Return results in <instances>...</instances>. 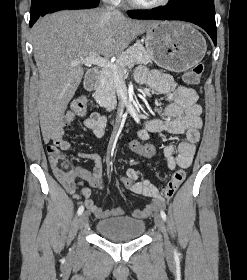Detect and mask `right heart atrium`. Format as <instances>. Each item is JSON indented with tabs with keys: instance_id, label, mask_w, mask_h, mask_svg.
Listing matches in <instances>:
<instances>
[{
	"instance_id": "obj_1",
	"label": "right heart atrium",
	"mask_w": 247,
	"mask_h": 280,
	"mask_svg": "<svg viewBox=\"0 0 247 280\" xmlns=\"http://www.w3.org/2000/svg\"><path fill=\"white\" fill-rule=\"evenodd\" d=\"M105 1H108V2H111V3H118L120 0H105Z\"/></svg>"
}]
</instances>
